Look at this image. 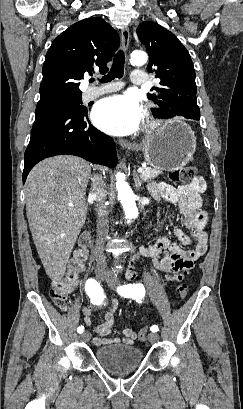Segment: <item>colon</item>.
<instances>
[{
  "mask_svg": "<svg viewBox=\"0 0 243 409\" xmlns=\"http://www.w3.org/2000/svg\"><path fill=\"white\" fill-rule=\"evenodd\" d=\"M195 168L192 166H184L175 170H171L168 173L169 179L174 183H185L192 179L194 180ZM90 244V238L87 235L82 236L77 244V247L73 251L68 264L66 275L63 279L55 280L50 286V297L53 303L59 308L65 309L68 304V296L73 290L80 273L85 268V263L88 255V247ZM188 271H185V275ZM177 295L179 300H183L188 294V287L185 284H181L177 287ZM148 329L144 328L139 331L138 339L145 341L147 337Z\"/></svg>",
  "mask_w": 243,
  "mask_h": 409,
  "instance_id": "obj_1",
  "label": "colon"
}]
</instances>
